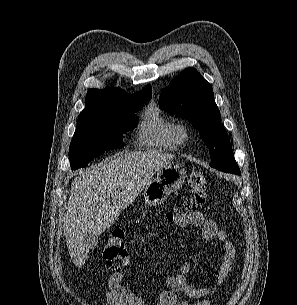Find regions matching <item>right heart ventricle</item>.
<instances>
[{"label": "right heart ventricle", "mask_w": 297, "mask_h": 305, "mask_svg": "<svg viewBox=\"0 0 297 305\" xmlns=\"http://www.w3.org/2000/svg\"><path fill=\"white\" fill-rule=\"evenodd\" d=\"M174 127L173 121L164 116L157 106L151 105L142 115L137 140L145 148L175 150L179 143Z\"/></svg>", "instance_id": "obj_1"}]
</instances>
